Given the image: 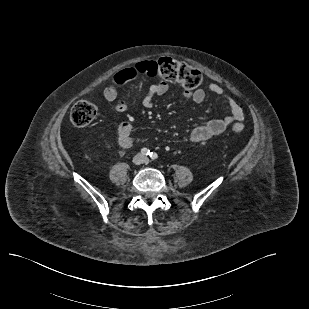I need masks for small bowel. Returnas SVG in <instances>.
I'll return each mask as SVG.
<instances>
[{
    "instance_id": "c3829d8e",
    "label": "small bowel",
    "mask_w": 309,
    "mask_h": 309,
    "mask_svg": "<svg viewBox=\"0 0 309 309\" xmlns=\"http://www.w3.org/2000/svg\"><path fill=\"white\" fill-rule=\"evenodd\" d=\"M156 69L151 61H143L136 63L133 66L119 70L113 76L111 84L104 91L103 96L109 102H115L118 96V87L141 77V76H156ZM169 86L166 82L160 81L152 84L148 91L141 97L140 103L146 107L153 106L154 99L163 96L168 92ZM209 90L225 99L229 106L230 114L221 119H213L201 125L195 126L188 132L187 139L191 144H197L222 134L227 127L233 122H241L244 120V112L241 106L229 95L225 94L224 89L215 83L209 85ZM185 97L195 104H201L205 100V91L201 88L195 90H187ZM129 106L127 101H117L113 105V109L117 112H124ZM118 142L124 149L130 148L134 139L132 136V124L130 121L122 122L118 127Z\"/></svg>"
}]
</instances>
